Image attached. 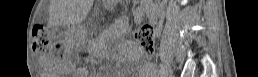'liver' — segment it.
I'll use <instances>...</instances> for the list:
<instances>
[{"mask_svg": "<svg viewBox=\"0 0 258 77\" xmlns=\"http://www.w3.org/2000/svg\"><path fill=\"white\" fill-rule=\"evenodd\" d=\"M73 19H75V13L73 14Z\"/></svg>", "mask_w": 258, "mask_h": 77, "instance_id": "obj_1", "label": "liver"}]
</instances>
